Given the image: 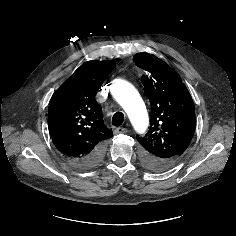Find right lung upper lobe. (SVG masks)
<instances>
[{
    "instance_id": "1",
    "label": "right lung upper lobe",
    "mask_w": 236,
    "mask_h": 236,
    "mask_svg": "<svg viewBox=\"0 0 236 236\" xmlns=\"http://www.w3.org/2000/svg\"><path fill=\"white\" fill-rule=\"evenodd\" d=\"M115 66L114 61L81 65L53 94L48 128L55 147L65 158H80L113 136L104 125L95 95Z\"/></svg>"
}]
</instances>
